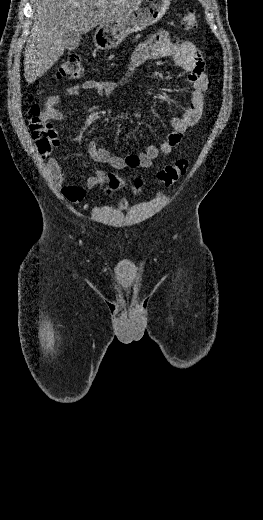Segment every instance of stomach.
Wrapping results in <instances>:
<instances>
[{
    "mask_svg": "<svg viewBox=\"0 0 263 520\" xmlns=\"http://www.w3.org/2000/svg\"><path fill=\"white\" fill-rule=\"evenodd\" d=\"M171 0H141L122 17L99 25L93 41L101 50L118 46L129 34L141 31L159 21L169 9Z\"/></svg>",
    "mask_w": 263,
    "mask_h": 520,
    "instance_id": "stomach-1",
    "label": "stomach"
}]
</instances>
